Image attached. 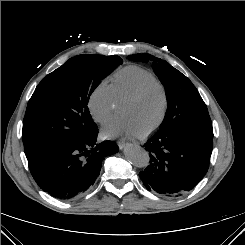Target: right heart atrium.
<instances>
[{
	"mask_svg": "<svg viewBox=\"0 0 245 245\" xmlns=\"http://www.w3.org/2000/svg\"><path fill=\"white\" fill-rule=\"evenodd\" d=\"M88 108L93 119L99 124H106L116 113V99L111 84L100 81L88 99Z\"/></svg>",
	"mask_w": 245,
	"mask_h": 245,
	"instance_id": "1",
	"label": "right heart atrium"
}]
</instances>
